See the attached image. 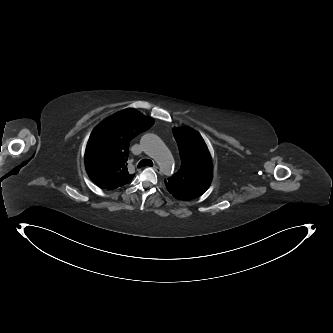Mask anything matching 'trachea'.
Listing matches in <instances>:
<instances>
[{
  "label": "trachea",
  "mask_w": 333,
  "mask_h": 333,
  "mask_svg": "<svg viewBox=\"0 0 333 333\" xmlns=\"http://www.w3.org/2000/svg\"><path fill=\"white\" fill-rule=\"evenodd\" d=\"M145 166H153V162L149 159H143L138 163V168L145 167Z\"/></svg>",
  "instance_id": "trachea-1"
}]
</instances>
